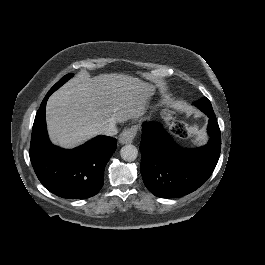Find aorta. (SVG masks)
<instances>
[{"label":"aorta","instance_id":"aorta-1","mask_svg":"<svg viewBox=\"0 0 265 265\" xmlns=\"http://www.w3.org/2000/svg\"><path fill=\"white\" fill-rule=\"evenodd\" d=\"M120 155L123 160L131 162L137 158L138 150L134 145L128 144L121 148Z\"/></svg>","mask_w":265,"mask_h":265}]
</instances>
